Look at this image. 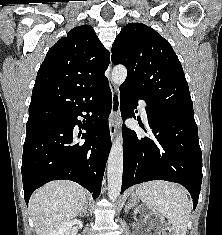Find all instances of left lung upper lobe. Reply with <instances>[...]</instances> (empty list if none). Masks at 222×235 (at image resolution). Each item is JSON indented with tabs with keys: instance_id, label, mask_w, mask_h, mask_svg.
<instances>
[{
	"instance_id": "left-lung-upper-lobe-1",
	"label": "left lung upper lobe",
	"mask_w": 222,
	"mask_h": 235,
	"mask_svg": "<svg viewBox=\"0 0 222 235\" xmlns=\"http://www.w3.org/2000/svg\"><path fill=\"white\" fill-rule=\"evenodd\" d=\"M112 62L124 64L122 84L152 107L194 119L188 83L170 43L151 27L129 23L112 45Z\"/></svg>"
}]
</instances>
